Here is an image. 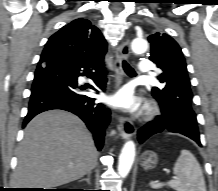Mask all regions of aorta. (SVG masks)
Segmentation results:
<instances>
[{
    "instance_id": "762f6f07",
    "label": "aorta",
    "mask_w": 218,
    "mask_h": 191,
    "mask_svg": "<svg viewBox=\"0 0 218 191\" xmlns=\"http://www.w3.org/2000/svg\"><path fill=\"white\" fill-rule=\"evenodd\" d=\"M131 49L135 54H142L147 51L148 43L143 38H136L131 43ZM135 144L133 141H127L120 153L118 172L121 177H126L131 170L135 158Z\"/></svg>"
}]
</instances>
